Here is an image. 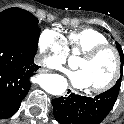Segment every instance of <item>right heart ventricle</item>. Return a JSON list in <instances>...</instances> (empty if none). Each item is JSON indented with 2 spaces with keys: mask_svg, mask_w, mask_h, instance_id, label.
<instances>
[{
  "mask_svg": "<svg viewBox=\"0 0 124 124\" xmlns=\"http://www.w3.org/2000/svg\"><path fill=\"white\" fill-rule=\"evenodd\" d=\"M107 43H109V39L93 28L70 32L64 39L66 52L80 55L94 46Z\"/></svg>",
  "mask_w": 124,
  "mask_h": 124,
  "instance_id": "1",
  "label": "right heart ventricle"
}]
</instances>
